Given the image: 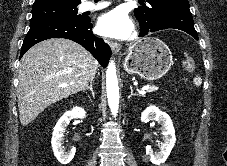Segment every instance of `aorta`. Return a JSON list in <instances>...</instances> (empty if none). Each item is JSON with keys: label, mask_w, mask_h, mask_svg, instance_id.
Segmentation results:
<instances>
[{"label": "aorta", "mask_w": 227, "mask_h": 166, "mask_svg": "<svg viewBox=\"0 0 227 166\" xmlns=\"http://www.w3.org/2000/svg\"><path fill=\"white\" fill-rule=\"evenodd\" d=\"M106 90L108 104L112 115L115 117L118 113L119 107V87L116 74V66L113 61H111L107 67L106 72Z\"/></svg>", "instance_id": "obj_1"}]
</instances>
